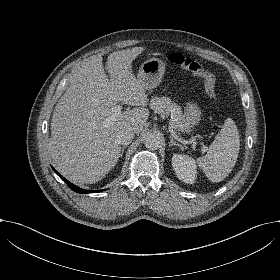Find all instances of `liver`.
Wrapping results in <instances>:
<instances>
[{
    "label": "liver",
    "mask_w": 280,
    "mask_h": 280,
    "mask_svg": "<svg viewBox=\"0 0 280 280\" xmlns=\"http://www.w3.org/2000/svg\"><path fill=\"white\" fill-rule=\"evenodd\" d=\"M143 51L133 47L111 53L110 79L101 56L87 59L71 74L53 112L49 151L57 169L72 181L101 180L119 160L117 132L139 134L147 126L148 95L131 70L132 61ZM119 102L137 107L121 112Z\"/></svg>",
    "instance_id": "liver-1"
}]
</instances>
